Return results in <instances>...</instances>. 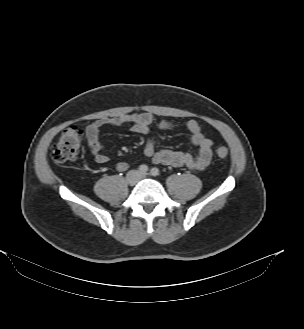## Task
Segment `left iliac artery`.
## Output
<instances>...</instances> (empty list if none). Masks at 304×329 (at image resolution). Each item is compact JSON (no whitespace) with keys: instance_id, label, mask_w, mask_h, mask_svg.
<instances>
[{"instance_id":"1","label":"left iliac artery","mask_w":304,"mask_h":329,"mask_svg":"<svg viewBox=\"0 0 304 329\" xmlns=\"http://www.w3.org/2000/svg\"><path fill=\"white\" fill-rule=\"evenodd\" d=\"M150 173L152 176H158L160 174L159 169L156 167L152 168Z\"/></svg>"}]
</instances>
